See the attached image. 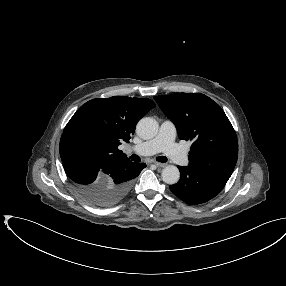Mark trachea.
Returning a JSON list of instances; mask_svg holds the SVG:
<instances>
[{"label": "trachea", "mask_w": 286, "mask_h": 286, "mask_svg": "<svg viewBox=\"0 0 286 286\" xmlns=\"http://www.w3.org/2000/svg\"><path fill=\"white\" fill-rule=\"evenodd\" d=\"M130 159L135 162L141 161L140 157L135 154L131 155ZM156 160L159 162L165 163L167 162L168 159L165 156H160V157H157Z\"/></svg>", "instance_id": "trachea-1"}]
</instances>
